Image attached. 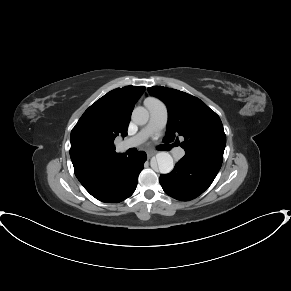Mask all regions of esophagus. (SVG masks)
Returning <instances> with one entry per match:
<instances>
[{
  "label": "esophagus",
  "mask_w": 291,
  "mask_h": 291,
  "mask_svg": "<svg viewBox=\"0 0 291 291\" xmlns=\"http://www.w3.org/2000/svg\"><path fill=\"white\" fill-rule=\"evenodd\" d=\"M155 154H156L155 151H148V152H147V156H148V158L154 156Z\"/></svg>",
  "instance_id": "obj_1"
}]
</instances>
